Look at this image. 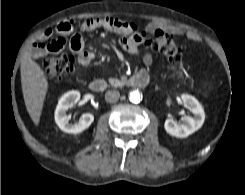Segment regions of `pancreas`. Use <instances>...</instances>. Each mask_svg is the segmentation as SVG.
I'll return each instance as SVG.
<instances>
[{"instance_id": "cf45deb5", "label": "pancreas", "mask_w": 245, "mask_h": 195, "mask_svg": "<svg viewBox=\"0 0 245 195\" xmlns=\"http://www.w3.org/2000/svg\"><path fill=\"white\" fill-rule=\"evenodd\" d=\"M109 83L114 87H119V86L123 85L124 81H120V80L115 79V78H109Z\"/></svg>"}]
</instances>
